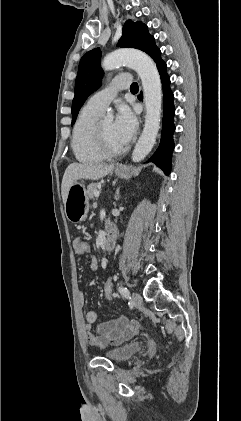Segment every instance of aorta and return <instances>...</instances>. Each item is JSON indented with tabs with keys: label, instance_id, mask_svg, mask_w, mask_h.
Wrapping results in <instances>:
<instances>
[{
	"label": "aorta",
	"instance_id": "aorta-1",
	"mask_svg": "<svg viewBox=\"0 0 241 421\" xmlns=\"http://www.w3.org/2000/svg\"><path fill=\"white\" fill-rule=\"evenodd\" d=\"M127 65L133 68L142 81L146 107L143 132L133 150L132 161L141 162L152 150L160 128L162 88L160 75L153 60L136 49H119L107 55L102 61L105 71ZM112 120V116H107Z\"/></svg>",
	"mask_w": 241,
	"mask_h": 421
}]
</instances>
